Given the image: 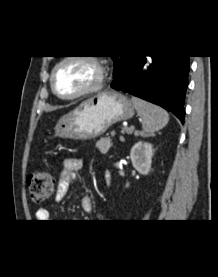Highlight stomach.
<instances>
[{"instance_id": "1", "label": "stomach", "mask_w": 218, "mask_h": 277, "mask_svg": "<svg viewBox=\"0 0 218 277\" xmlns=\"http://www.w3.org/2000/svg\"><path fill=\"white\" fill-rule=\"evenodd\" d=\"M134 105L115 91L101 92L62 116L55 126V136L89 140L104 134L113 124L134 116Z\"/></svg>"}]
</instances>
